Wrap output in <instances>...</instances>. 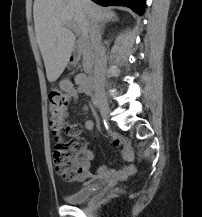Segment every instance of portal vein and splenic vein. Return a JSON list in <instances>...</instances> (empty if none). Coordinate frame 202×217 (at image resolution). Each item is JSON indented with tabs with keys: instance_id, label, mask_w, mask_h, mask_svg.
I'll use <instances>...</instances> for the list:
<instances>
[{
	"instance_id": "portal-vein-and-splenic-vein-1",
	"label": "portal vein and splenic vein",
	"mask_w": 202,
	"mask_h": 217,
	"mask_svg": "<svg viewBox=\"0 0 202 217\" xmlns=\"http://www.w3.org/2000/svg\"><path fill=\"white\" fill-rule=\"evenodd\" d=\"M65 25L69 29H72L76 34L80 33L79 29L74 24H72V23H66Z\"/></svg>"
}]
</instances>
